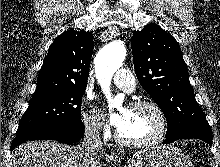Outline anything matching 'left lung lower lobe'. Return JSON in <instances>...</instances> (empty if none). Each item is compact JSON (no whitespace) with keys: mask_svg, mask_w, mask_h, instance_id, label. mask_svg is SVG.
<instances>
[{"mask_svg":"<svg viewBox=\"0 0 220 167\" xmlns=\"http://www.w3.org/2000/svg\"><path fill=\"white\" fill-rule=\"evenodd\" d=\"M191 138L200 139L208 143L209 146L212 145V131L210 127L194 129V130H191L185 133L184 135L180 137L166 138L163 141V144H169L180 139H191Z\"/></svg>","mask_w":220,"mask_h":167,"instance_id":"0a47b994","label":"left lung lower lobe"}]
</instances>
